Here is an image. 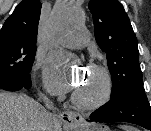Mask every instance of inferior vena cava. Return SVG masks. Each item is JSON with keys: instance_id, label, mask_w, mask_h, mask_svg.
Wrapping results in <instances>:
<instances>
[{"instance_id": "602c4592", "label": "inferior vena cava", "mask_w": 151, "mask_h": 131, "mask_svg": "<svg viewBox=\"0 0 151 131\" xmlns=\"http://www.w3.org/2000/svg\"><path fill=\"white\" fill-rule=\"evenodd\" d=\"M47 106L50 107L49 104H47ZM59 126H60V125H59V122H58L56 119H53V128H54L53 130H54V131H57L58 128H59Z\"/></svg>"}]
</instances>
